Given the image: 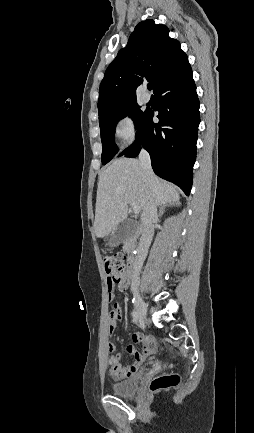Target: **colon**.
Listing matches in <instances>:
<instances>
[{
	"instance_id": "colon-1",
	"label": "colon",
	"mask_w": 254,
	"mask_h": 433,
	"mask_svg": "<svg viewBox=\"0 0 254 433\" xmlns=\"http://www.w3.org/2000/svg\"><path fill=\"white\" fill-rule=\"evenodd\" d=\"M104 269L107 274L109 288L115 284L128 282L129 268L127 261L121 254H108L103 258ZM179 382L177 374H164L154 378L149 384V391L152 393L169 389Z\"/></svg>"
}]
</instances>
